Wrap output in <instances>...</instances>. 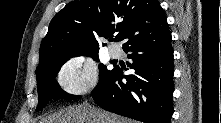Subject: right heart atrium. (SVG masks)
Segmentation results:
<instances>
[{
	"label": "right heart atrium",
	"instance_id": "d8ad5b80",
	"mask_svg": "<svg viewBox=\"0 0 221 123\" xmlns=\"http://www.w3.org/2000/svg\"><path fill=\"white\" fill-rule=\"evenodd\" d=\"M57 82L69 95L80 96L89 93L97 85L96 66L82 57L70 58L59 69Z\"/></svg>",
	"mask_w": 221,
	"mask_h": 123
}]
</instances>
